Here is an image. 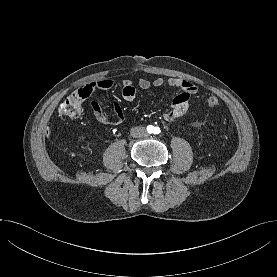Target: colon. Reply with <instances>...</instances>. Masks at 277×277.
Instances as JSON below:
<instances>
[{
	"label": "colon",
	"instance_id": "colon-1",
	"mask_svg": "<svg viewBox=\"0 0 277 277\" xmlns=\"http://www.w3.org/2000/svg\"><path fill=\"white\" fill-rule=\"evenodd\" d=\"M88 98V94L85 91H76L69 95L58 107V113L61 116L76 118L82 113L83 102ZM206 104L210 108L218 106L219 100L213 95L209 94L206 97Z\"/></svg>",
	"mask_w": 277,
	"mask_h": 277
}]
</instances>
